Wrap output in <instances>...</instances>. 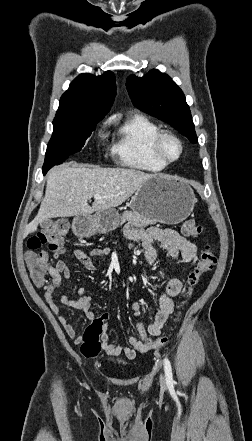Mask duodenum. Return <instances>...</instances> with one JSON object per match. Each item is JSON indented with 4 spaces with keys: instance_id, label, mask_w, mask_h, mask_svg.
<instances>
[{
    "instance_id": "1",
    "label": "duodenum",
    "mask_w": 252,
    "mask_h": 441,
    "mask_svg": "<svg viewBox=\"0 0 252 441\" xmlns=\"http://www.w3.org/2000/svg\"><path fill=\"white\" fill-rule=\"evenodd\" d=\"M75 229L78 236H88L91 231V222L88 219L78 220L75 223Z\"/></svg>"
}]
</instances>
